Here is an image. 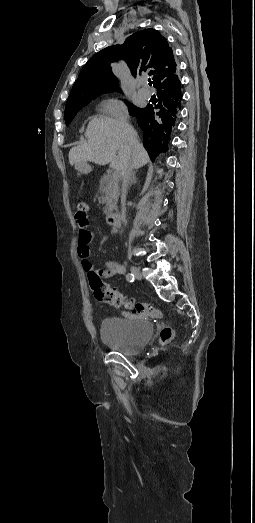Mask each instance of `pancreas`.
<instances>
[{
  "label": "pancreas",
  "instance_id": "1",
  "mask_svg": "<svg viewBox=\"0 0 255 523\" xmlns=\"http://www.w3.org/2000/svg\"><path fill=\"white\" fill-rule=\"evenodd\" d=\"M119 176L112 174H105L102 176L99 184V192L102 196V204H106L103 208L104 214H113V210H117V200L119 196Z\"/></svg>",
  "mask_w": 255,
  "mask_h": 523
}]
</instances>
